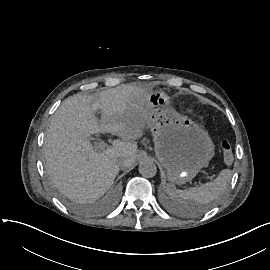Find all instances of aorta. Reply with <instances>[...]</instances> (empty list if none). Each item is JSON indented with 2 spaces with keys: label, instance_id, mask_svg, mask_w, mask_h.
I'll return each instance as SVG.
<instances>
[{
  "label": "aorta",
  "instance_id": "1",
  "mask_svg": "<svg viewBox=\"0 0 270 270\" xmlns=\"http://www.w3.org/2000/svg\"><path fill=\"white\" fill-rule=\"evenodd\" d=\"M139 172L145 178H152L157 173V167L155 163L151 160H142L139 165Z\"/></svg>",
  "mask_w": 270,
  "mask_h": 270
}]
</instances>
